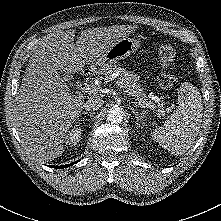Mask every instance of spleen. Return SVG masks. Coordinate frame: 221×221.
<instances>
[{
  "mask_svg": "<svg viewBox=\"0 0 221 221\" xmlns=\"http://www.w3.org/2000/svg\"><path fill=\"white\" fill-rule=\"evenodd\" d=\"M203 115V104L198 89L183 82L178 91L177 109L165 124L152 133L154 141L174 155L184 154L197 137Z\"/></svg>",
  "mask_w": 221,
  "mask_h": 221,
  "instance_id": "spleen-1",
  "label": "spleen"
}]
</instances>
